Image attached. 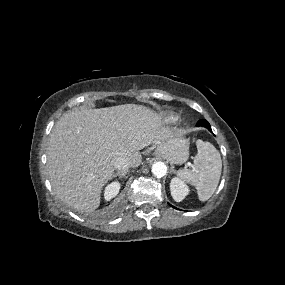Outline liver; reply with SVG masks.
Instances as JSON below:
<instances>
[{"instance_id": "liver-1", "label": "liver", "mask_w": 285, "mask_h": 285, "mask_svg": "<svg viewBox=\"0 0 285 285\" xmlns=\"http://www.w3.org/2000/svg\"><path fill=\"white\" fill-rule=\"evenodd\" d=\"M175 135L159 114L142 105L65 113L50 134L47 150L52 188L69 207L90 214L100 205L102 188L112 179L118 157L138 167L139 150Z\"/></svg>"}]
</instances>
